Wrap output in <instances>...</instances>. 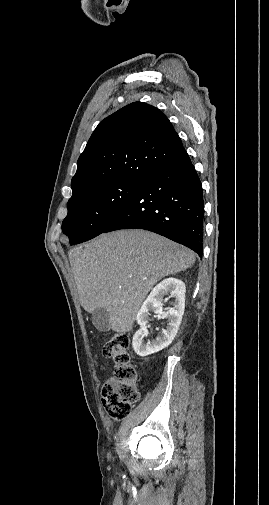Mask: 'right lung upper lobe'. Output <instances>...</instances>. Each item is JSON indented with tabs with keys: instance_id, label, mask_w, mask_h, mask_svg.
<instances>
[{
	"instance_id": "obj_1",
	"label": "right lung upper lobe",
	"mask_w": 269,
	"mask_h": 505,
	"mask_svg": "<svg viewBox=\"0 0 269 505\" xmlns=\"http://www.w3.org/2000/svg\"><path fill=\"white\" fill-rule=\"evenodd\" d=\"M185 152L171 122L158 108L133 102L94 130L78 159L72 196L108 182H142Z\"/></svg>"
}]
</instances>
